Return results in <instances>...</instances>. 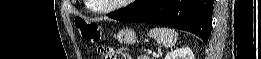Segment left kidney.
Returning a JSON list of instances; mask_svg holds the SVG:
<instances>
[{
    "label": "left kidney",
    "mask_w": 261,
    "mask_h": 59,
    "mask_svg": "<svg viewBox=\"0 0 261 59\" xmlns=\"http://www.w3.org/2000/svg\"><path fill=\"white\" fill-rule=\"evenodd\" d=\"M164 59H194V54L189 47L185 46L171 50Z\"/></svg>",
    "instance_id": "left-kidney-1"
}]
</instances>
